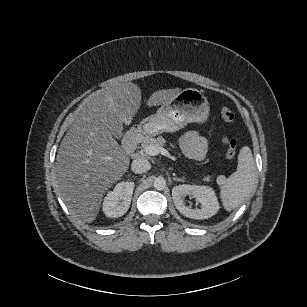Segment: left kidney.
Wrapping results in <instances>:
<instances>
[{"label": "left kidney", "mask_w": 307, "mask_h": 307, "mask_svg": "<svg viewBox=\"0 0 307 307\" xmlns=\"http://www.w3.org/2000/svg\"><path fill=\"white\" fill-rule=\"evenodd\" d=\"M195 198L201 203V209L187 207L184 202L186 196ZM172 198L175 207L184 216L192 219H207L219 210V202L214 190L209 186L179 185L172 189Z\"/></svg>", "instance_id": "left-kidney-1"}]
</instances>
